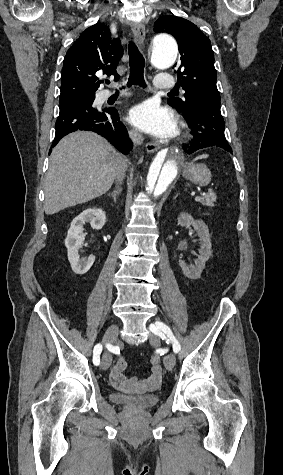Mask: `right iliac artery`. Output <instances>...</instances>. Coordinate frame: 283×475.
I'll return each instance as SVG.
<instances>
[{
    "instance_id": "82829eb1",
    "label": "right iliac artery",
    "mask_w": 283,
    "mask_h": 475,
    "mask_svg": "<svg viewBox=\"0 0 283 475\" xmlns=\"http://www.w3.org/2000/svg\"><path fill=\"white\" fill-rule=\"evenodd\" d=\"M102 352V345L101 344H97L95 347H94V350H93V363L95 365H99L100 364V354Z\"/></svg>"
}]
</instances>
